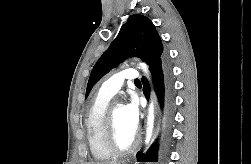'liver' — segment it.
<instances>
[{
  "instance_id": "1",
  "label": "liver",
  "mask_w": 251,
  "mask_h": 164,
  "mask_svg": "<svg viewBox=\"0 0 251 164\" xmlns=\"http://www.w3.org/2000/svg\"><path fill=\"white\" fill-rule=\"evenodd\" d=\"M91 164H120V163L116 161H112V162H99V163H91Z\"/></svg>"
}]
</instances>
